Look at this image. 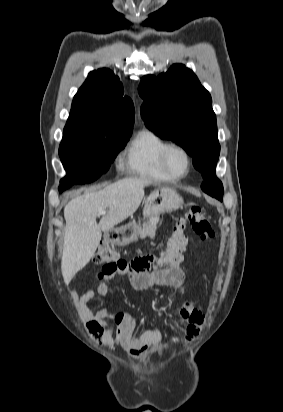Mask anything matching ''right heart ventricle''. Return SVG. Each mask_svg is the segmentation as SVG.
Listing matches in <instances>:
<instances>
[{
	"label": "right heart ventricle",
	"instance_id": "right-heart-ventricle-1",
	"mask_svg": "<svg viewBox=\"0 0 283 412\" xmlns=\"http://www.w3.org/2000/svg\"><path fill=\"white\" fill-rule=\"evenodd\" d=\"M170 143L158 132L144 128L129 143L122 166L131 174L150 177L162 181H171L160 166V155Z\"/></svg>",
	"mask_w": 283,
	"mask_h": 412
}]
</instances>
